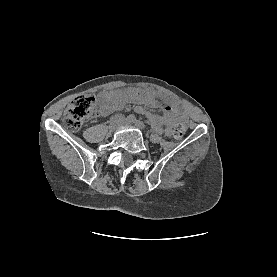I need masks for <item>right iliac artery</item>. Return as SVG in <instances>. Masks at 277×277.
I'll list each match as a JSON object with an SVG mask.
<instances>
[{
    "label": "right iliac artery",
    "mask_w": 277,
    "mask_h": 277,
    "mask_svg": "<svg viewBox=\"0 0 277 277\" xmlns=\"http://www.w3.org/2000/svg\"><path fill=\"white\" fill-rule=\"evenodd\" d=\"M127 121H128L129 123H134V122L136 121V118H135L134 115H129V116L127 117Z\"/></svg>",
    "instance_id": "obj_1"
}]
</instances>
